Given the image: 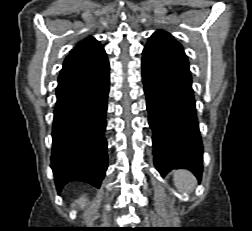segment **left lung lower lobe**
Returning <instances> with one entry per match:
<instances>
[{"label":"left lung lower lobe","instance_id":"obj_1","mask_svg":"<svg viewBox=\"0 0 252 231\" xmlns=\"http://www.w3.org/2000/svg\"><path fill=\"white\" fill-rule=\"evenodd\" d=\"M142 76L157 170L165 176L185 168L200 180L203 147L182 45L170 34L151 36L143 50Z\"/></svg>","mask_w":252,"mask_h":231}]
</instances>
